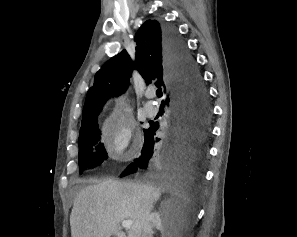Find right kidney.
Listing matches in <instances>:
<instances>
[{
    "label": "right kidney",
    "instance_id": "obj_1",
    "mask_svg": "<svg viewBox=\"0 0 297 237\" xmlns=\"http://www.w3.org/2000/svg\"><path fill=\"white\" fill-rule=\"evenodd\" d=\"M154 228L159 229L162 232L163 237L170 236L166 232L165 221L162 220V216L159 212L155 211L149 214L144 226L142 237H153Z\"/></svg>",
    "mask_w": 297,
    "mask_h": 237
}]
</instances>
